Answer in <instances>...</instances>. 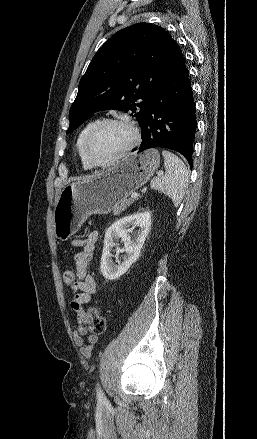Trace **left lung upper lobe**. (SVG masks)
<instances>
[{"label": "left lung upper lobe", "instance_id": "obj_1", "mask_svg": "<svg viewBox=\"0 0 257 439\" xmlns=\"http://www.w3.org/2000/svg\"><path fill=\"white\" fill-rule=\"evenodd\" d=\"M178 48L167 31L150 23L115 33L97 51L80 80L67 133L91 114L107 109L132 111L141 125Z\"/></svg>", "mask_w": 257, "mask_h": 439}]
</instances>
